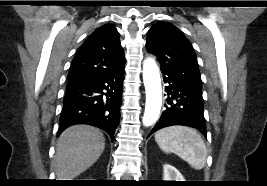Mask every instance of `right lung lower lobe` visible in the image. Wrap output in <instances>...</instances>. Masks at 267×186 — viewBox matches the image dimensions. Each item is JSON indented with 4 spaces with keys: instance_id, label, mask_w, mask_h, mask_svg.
I'll return each instance as SVG.
<instances>
[{
    "instance_id": "1",
    "label": "right lung lower lobe",
    "mask_w": 267,
    "mask_h": 186,
    "mask_svg": "<svg viewBox=\"0 0 267 186\" xmlns=\"http://www.w3.org/2000/svg\"><path fill=\"white\" fill-rule=\"evenodd\" d=\"M124 65L67 82L58 134L71 125L88 124L104 130L114 140L120 120Z\"/></svg>"
}]
</instances>
